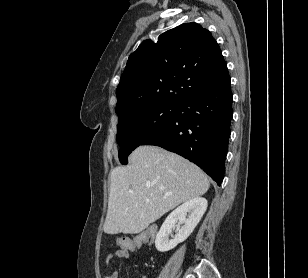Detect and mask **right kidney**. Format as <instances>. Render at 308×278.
<instances>
[{"label": "right kidney", "mask_w": 308, "mask_h": 278, "mask_svg": "<svg viewBox=\"0 0 308 278\" xmlns=\"http://www.w3.org/2000/svg\"><path fill=\"white\" fill-rule=\"evenodd\" d=\"M206 209L207 200L201 197L191 199L177 207L168 215L157 233L155 239L156 249L160 252H166L186 240L201 220ZM177 222L184 225L178 230L173 239H169L168 235L172 232V229L177 227Z\"/></svg>", "instance_id": "ca27d5eb"}]
</instances>
